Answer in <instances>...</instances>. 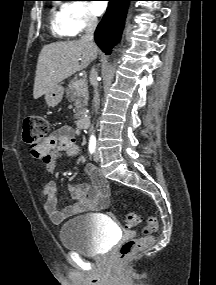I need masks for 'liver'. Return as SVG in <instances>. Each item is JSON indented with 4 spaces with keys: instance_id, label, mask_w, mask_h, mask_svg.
Wrapping results in <instances>:
<instances>
[{
    "instance_id": "obj_1",
    "label": "liver",
    "mask_w": 216,
    "mask_h": 285,
    "mask_svg": "<svg viewBox=\"0 0 216 285\" xmlns=\"http://www.w3.org/2000/svg\"><path fill=\"white\" fill-rule=\"evenodd\" d=\"M96 55L95 45L91 47L81 40L45 45L38 57L33 90L34 99L40 98L64 79L86 68Z\"/></svg>"
}]
</instances>
